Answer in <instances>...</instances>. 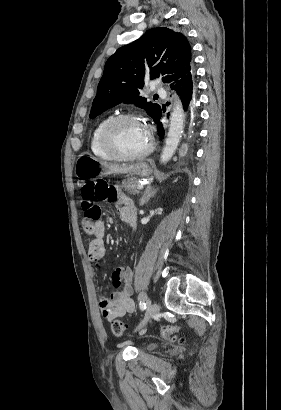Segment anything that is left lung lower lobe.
Instances as JSON below:
<instances>
[{"label":"left lung lower lobe","mask_w":281,"mask_h":410,"mask_svg":"<svg viewBox=\"0 0 281 410\" xmlns=\"http://www.w3.org/2000/svg\"><path fill=\"white\" fill-rule=\"evenodd\" d=\"M171 89L176 90L177 93L180 95L184 110H188L189 123H193L195 113H194V108L193 107L190 108V105L192 106V103H193L192 95H193V89H194V71L192 70L191 72L186 74L184 77H182L178 82H176V84L171 85ZM161 116H162V112L160 110L159 114L154 119V122L157 123L158 134L163 137L164 129L160 122Z\"/></svg>","instance_id":"1"}]
</instances>
